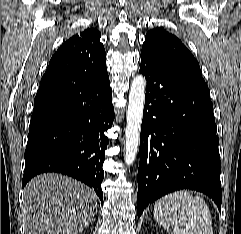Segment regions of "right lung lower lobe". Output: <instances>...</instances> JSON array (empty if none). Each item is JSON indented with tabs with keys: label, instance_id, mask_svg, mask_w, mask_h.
Segmentation results:
<instances>
[{
	"label": "right lung lower lobe",
	"instance_id": "obj_1",
	"mask_svg": "<svg viewBox=\"0 0 241 234\" xmlns=\"http://www.w3.org/2000/svg\"><path fill=\"white\" fill-rule=\"evenodd\" d=\"M114 108L107 70L65 89L37 94L31 117L22 187L40 173L71 176L95 190L103 203L102 165Z\"/></svg>",
	"mask_w": 241,
	"mask_h": 234
}]
</instances>
